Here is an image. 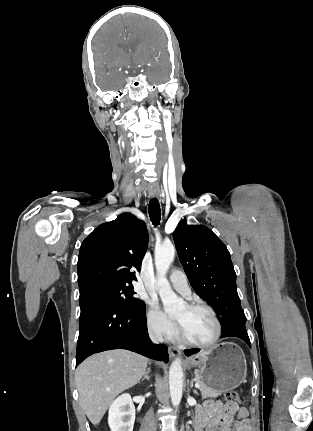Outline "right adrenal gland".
<instances>
[{"label": "right adrenal gland", "mask_w": 313, "mask_h": 431, "mask_svg": "<svg viewBox=\"0 0 313 431\" xmlns=\"http://www.w3.org/2000/svg\"><path fill=\"white\" fill-rule=\"evenodd\" d=\"M150 371H151V370H150L149 368L145 371L144 376H143V378L141 379V381H144V380H148V381H150V376H149Z\"/></svg>", "instance_id": "2a0ac1e0"}]
</instances>
